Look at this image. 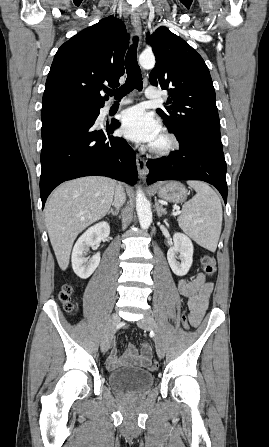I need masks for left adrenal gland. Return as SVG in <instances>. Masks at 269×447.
I'll use <instances>...</instances> for the list:
<instances>
[{
  "mask_svg": "<svg viewBox=\"0 0 269 447\" xmlns=\"http://www.w3.org/2000/svg\"><path fill=\"white\" fill-rule=\"evenodd\" d=\"M155 210H157L158 218H161V216H166V214H167L165 208H162V206H160V204H158L156 198H155Z\"/></svg>",
  "mask_w": 269,
  "mask_h": 447,
  "instance_id": "1",
  "label": "left adrenal gland"
}]
</instances>
